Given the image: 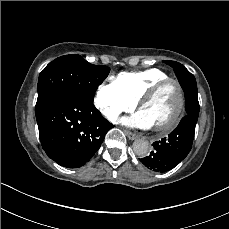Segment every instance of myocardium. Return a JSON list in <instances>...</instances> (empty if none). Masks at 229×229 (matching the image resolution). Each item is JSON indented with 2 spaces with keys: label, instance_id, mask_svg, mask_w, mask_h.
Here are the masks:
<instances>
[{
  "label": "myocardium",
  "instance_id": "myocardium-1",
  "mask_svg": "<svg viewBox=\"0 0 229 229\" xmlns=\"http://www.w3.org/2000/svg\"><path fill=\"white\" fill-rule=\"evenodd\" d=\"M176 83L173 86L174 89V101L175 105L172 109V113L170 116H168L167 120H165L164 128H154V131L159 135H167L171 133L184 119V117L187 114L188 106H189V100L188 95L185 91V88L182 84V82L174 77L166 78L160 82H158L156 85H154L149 91L146 93V95L140 100L139 102V111L146 106L147 102L151 99V97L162 87L166 86L168 83ZM184 104V105H183ZM183 108V110H182ZM182 111V112H181Z\"/></svg>",
  "mask_w": 229,
  "mask_h": 229
}]
</instances>
